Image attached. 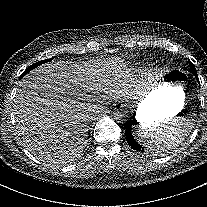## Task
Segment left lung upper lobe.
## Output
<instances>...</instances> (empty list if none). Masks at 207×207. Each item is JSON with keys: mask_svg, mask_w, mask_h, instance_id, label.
Wrapping results in <instances>:
<instances>
[{"mask_svg": "<svg viewBox=\"0 0 207 207\" xmlns=\"http://www.w3.org/2000/svg\"><path fill=\"white\" fill-rule=\"evenodd\" d=\"M190 70H191V72H192L193 70H195V66H194V64L191 63V62H190Z\"/></svg>", "mask_w": 207, "mask_h": 207, "instance_id": "5c2ea615", "label": "left lung upper lobe"}]
</instances>
